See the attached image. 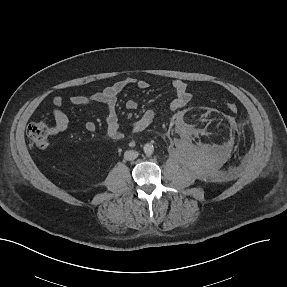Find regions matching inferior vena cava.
<instances>
[{
  "label": "inferior vena cava",
  "mask_w": 287,
  "mask_h": 287,
  "mask_svg": "<svg viewBox=\"0 0 287 287\" xmlns=\"http://www.w3.org/2000/svg\"><path fill=\"white\" fill-rule=\"evenodd\" d=\"M139 153L134 150H128L124 153V158L128 161L134 160L138 157Z\"/></svg>",
  "instance_id": "obj_1"
}]
</instances>
